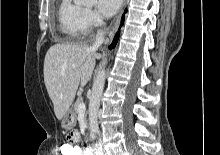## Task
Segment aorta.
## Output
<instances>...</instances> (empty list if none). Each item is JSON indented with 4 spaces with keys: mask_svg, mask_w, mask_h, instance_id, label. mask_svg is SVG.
<instances>
[{
    "mask_svg": "<svg viewBox=\"0 0 220 155\" xmlns=\"http://www.w3.org/2000/svg\"><path fill=\"white\" fill-rule=\"evenodd\" d=\"M96 0H81L84 4H93ZM106 78L105 69H101L96 75L89 101V129L91 134L99 133L98 126V110L100 107V99L103 93Z\"/></svg>",
    "mask_w": 220,
    "mask_h": 155,
    "instance_id": "1",
    "label": "aorta"
}]
</instances>
